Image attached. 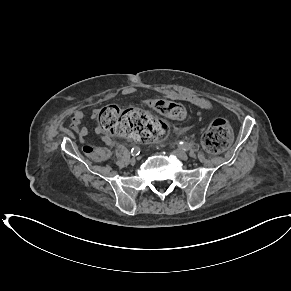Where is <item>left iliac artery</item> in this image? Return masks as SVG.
Returning a JSON list of instances; mask_svg holds the SVG:
<instances>
[{"instance_id":"44dca946","label":"left iliac artery","mask_w":291,"mask_h":291,"mask_svg":"<svg viewBox=\"0 0 291 291\" xmlns=\"http://www.w3.org/2000/svg\"><path fill=\"white\" fill-rule=\"evenodd\" d=\"M179 147L183 150H188L190 148V145L186 142L181 141L179 142Z\"/></svg>"}]
</instances>
